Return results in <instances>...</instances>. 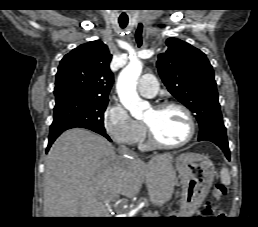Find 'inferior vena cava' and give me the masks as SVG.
Returning <instances> with one entry per match:
<instances>
[{"instance_id":"1","label":"inferior vena cava","mask_w":258,"mask_h":227,"mask_svg":"<svg viewBox=\"0 0 258 227\" xmlns=\"http://www.w3.org/2000/svg\"><path fill=\"white\" fill-rule=\"evenodd\" d=\"M119 153L124 156H133L135 157V153L133 151H131L129 148H127L126 146L122 145L119 147Z\"/></svg>"}]
</instances>
